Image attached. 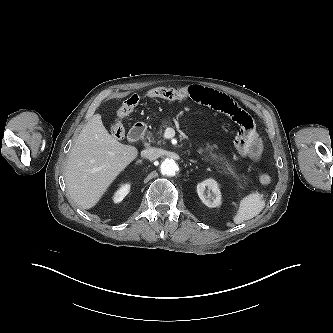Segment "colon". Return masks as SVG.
<instances>
[{"label": "colon", "instance_id": "5ec220e1", "mask_svg": "<svg viewBox=\"0 0 333 333\" xmlns=\"http://www.w3.org/2000/svg\"><path fill=\"white\" fill-rule=\"evenodd\" d=\"M143 96L149 98H162L166 100H180L189 98L190 93L186 89L157 87L148 90L143 94ZM139 100V95L132 94L123 101V103L117 110L115 121L111 126V133L115 138L121 139L124 137L125 128L123 125V120L135 109V107L139 103ZM259 181L261 184L267 185L271 182V177L267 173H262L259 176Z\"/></svg>", "mask_w": 333, "mask_h": 333}]
</instances>
